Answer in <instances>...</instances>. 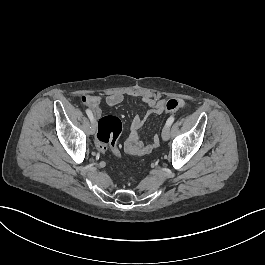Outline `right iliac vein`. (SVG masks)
Here are the masks:
<instances>
[{"instance_id":"1","label":"right iliac vein","mask_w":265,"mask_h":265,"mask_svg":"<svg viewBox=\"0 0 265 265\" xmlns=\"http://www.w3.org/2000/svg\"><path fill=\"white\" fill-rule=\"evenodd\" d=\"M96 129H97V122L96 120H94L91 122V124H89L90 133L94 135L96 133Z\"/></svg>"}]
</instances>
